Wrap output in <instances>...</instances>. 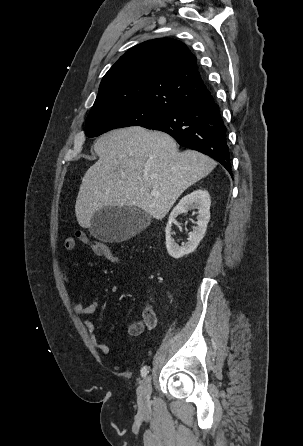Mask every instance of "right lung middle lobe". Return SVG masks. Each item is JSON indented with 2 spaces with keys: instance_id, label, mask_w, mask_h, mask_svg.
Instances as JSON below:
<instances>
[{
  "instance_id": "1",
  "label": "right lung middle lobe",
  "mask_w": 303,
  "mask_h": 446,
  "mask_svg": "<svg viewBox=\"0 0 303 446\" xmlns=\"http://www.w3.org/2000/svg\"><path fill=\"white\" fill-rule=\"evenodd\" d=\"M166 111L141 103H114L92 108L86 120L85 134L96 137L112 129L140 126Z\"/></svg>"
}]
</instances>
